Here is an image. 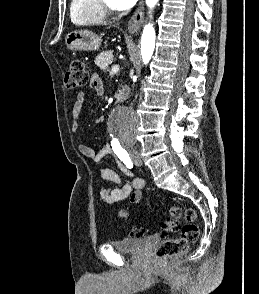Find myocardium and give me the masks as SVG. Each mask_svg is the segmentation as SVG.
I'll list each match as a JSON object with an SVG mask.
<instances>
[{
	"label": "myocardium",
	"instance_id": "obj_1",
	"mask_svg": "<svg viewBox=\"0 0 259 294\" xmlns=\"http://www.w3.org/2000/svg\"><path fill=\"white\" fill-rule=\"evenodd\" d=\"M98 1V6L102 13L106 16H111L116 13V9L113 6H110L106 3L105 0H97Z\"/></svg>",
	"mask_w": 259,
	"mask_h": 294
}]
</instances>
